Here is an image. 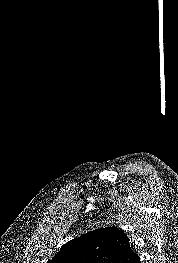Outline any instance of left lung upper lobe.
<instances>
[{"instance_id": "left-lung-upper-lobe-1", "label": "left lung upper lobe", "mask_w": 178, "mask_h": 263, "mask_svg": "<svg viewBox=\"0 0 178 263\" xmlns=\"http://www.w3.org/2000/svg\"><path fill=\"white\" fill-rule=\"evenodd\" d=\"M127 241L117 227L101 228L70 240L48 263H109Z\"/></svg>"}]
</instances>
